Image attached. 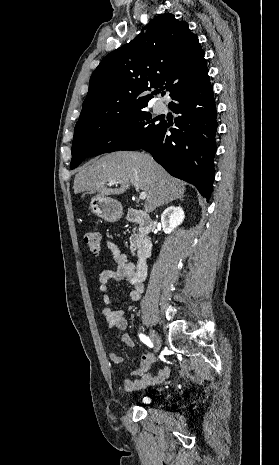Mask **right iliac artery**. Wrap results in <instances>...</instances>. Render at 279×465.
<instances>
[{
  "instance_id": "82829eb1",
  "label": "right iliac artery",
  "mask_w": 279,
  "mask_h": 465,
  "mask_svg": "<svg viewBox=\"0 0 279 465\" xmlns=\"http://www.w3.org/2000/svg\"><path fill=\"white\" fill-rule=\"evenodd\" d=\"M139 338H140V340H141L143 343H145L147 346L153 347V344H152L151 340H150L149 337H147L146 335L140 334V335H139Z\"/></svg>"
}]
</instances>
